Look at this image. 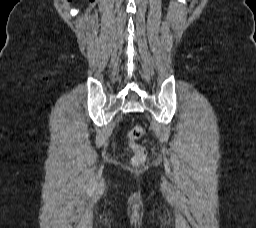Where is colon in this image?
<instances>
[{
  "label": "colon",
  "instance_id": "obj_1",
  "mask_svg": "<svg viewBox=\"0 0 256 228\" xmlns=\"http://www.w3.org/2000/svg\"><path fill=\"white\" fill-rule=\"evenodd\" d=\"M143 133V128L140 125L134 126L128 133V144L134 152L131 159L133 166L142 165L147 157L146 148L138 143V140L143 136Z\"/></svg>",
  "mask_w": 256,
  "mask_h": 228
}]
</instances>
